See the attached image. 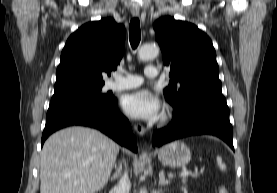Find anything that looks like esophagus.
Segmentation results:
<instances>
[{"label": "esophagus", "instance_id": "1", "mask_svg": "<svg viewBox=\"0 0 277 193\" xmlns=\"http://www.w3.org/2000/svg\"><path fill=\"white\" fill-rule=\"evenodd\" d=\"M131 13L133 16L138 17L140 15V8L137 5H132L131 6ZM134 129L139 134L140 136L144 135L146 132V129L143 125L141 124H134Z\"/></svg>", "mask_w": 277, "mask_h": 193}]
</instances>
